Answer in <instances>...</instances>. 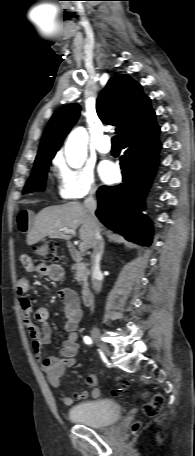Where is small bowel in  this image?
Instances as JSON below:
<instances>
[{"mask_svg":"<svg viewBox=\"0 0 195 456\" xmlns=\"http://www.w3.org/2000/svg\"><path fill=\"white\" fill-rule=\"evenodd\" d=\"M31 214L23 210L17 217L18 228L21 232L26 233L30 227ZM21 264L27 272L37 273L53 281H60L63 278L64 270L61 265L38 263L36 264L30 256L23 254L20 257ZM30 281L22 277L17 281V294L19 304L23 315L24 324L32 340V347L36 358L41 362L42 369L47 376L51 387L60 394L61 402L64 405H72L74 402L91 398H98L100 395L98 378L96 375H88L86 378L87 385L93 387L91 394L87 391L76 392L68 395L63 391L61 377L65 370L75 365V357L79 350L78 344V327L82 318L80 300L77 293L69 288L58 291V297L63 303V312L65 316L64 329L67 337L62 343L60 356H50L43 358L42 348L49 343L52 336V329L48 322L49 312L45 307L33 309L32 303L26 296L30 291Z\"/></svg>","mask_w":195,"mask_h":456,"instance_id":"1","label":"small bowel"}]
</instances>
